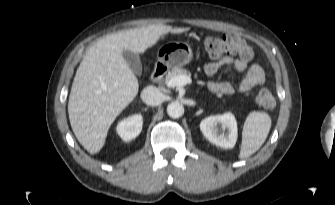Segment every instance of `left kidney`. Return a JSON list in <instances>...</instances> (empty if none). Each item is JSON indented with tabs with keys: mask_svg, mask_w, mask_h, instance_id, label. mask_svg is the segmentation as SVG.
Here are the masks:
<instances>
[{
	"mask_svg": "<svg viewBox=\"0 0 335 205\" xmlns=\"http://www.w3.org/2000/svg\"><path fill=\"white\" fill-rule=\"evenodd\" d=\"M221 125V128L218 127ZM200 130L212 144L221 148H233L237 141L238 128L235 116L230 113L209 116L200 123Z\"/></svg>",
	"mask_w": 335,
	"mask_h": 205,
	"instance_id": "1",
	"label": "left kidney"
}]
</instances>
